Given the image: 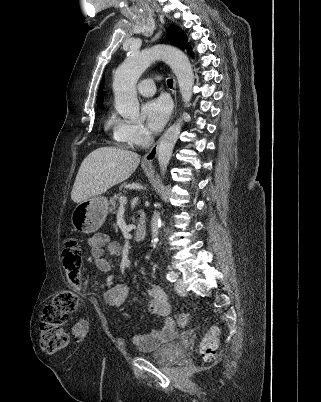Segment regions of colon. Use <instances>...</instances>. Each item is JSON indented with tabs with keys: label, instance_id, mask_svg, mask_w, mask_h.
I'll return each instance as SVG.
<instances>
[{
	"label": "colon",
	"instance_id": "colon-1",
	"mask_svg": "<svg viewBox=\"0 0 321 402\" xmlns=\"http://www.w3.org/2000/svg\"><path fill=\"white\" fill-rule=\"evenodd\" d=\"M62 256L71 289L56 293L44 309L40 324V344L46 353H55L68 345L69 335L64 326L78 307L79 300L75 292H82L84 289L81 279L82 253L76 238H68L65 241ZM176 323L180 327L186 326L188 316L184 313L177 314ZM218 336V329L213 327L202 339L200 353L204 360L212 361L217 357Z\"/></svg>",
	"mask_w": 321,
	"mask_h": 402
}]
</instances>
